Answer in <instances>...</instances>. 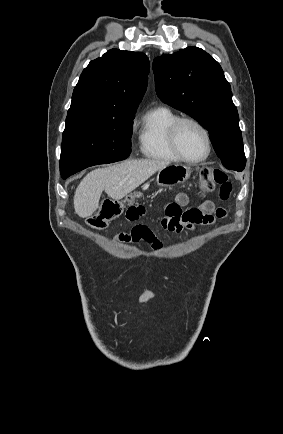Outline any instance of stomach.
Segmentation results:
<instances>
[{
  "instance_id": "1",
  "label": "stomach",
  "mask_w": 283,
  "mask_h": 434,
  "mask_svg": "<svg viewBox=\"0 0 283 434\" xmlns=\"http://www.w3.org/2000/svg\"><path fill=\"white\" fill-rule=\"evenodd\" d=\"M191 169L185 165L172 164L159 170L157 174V184L161 187H171L181 184L189 179Z\"/></svg>"
}]
</instances>
